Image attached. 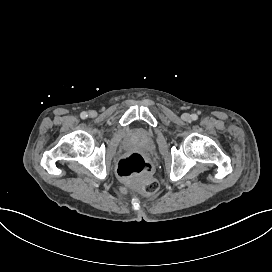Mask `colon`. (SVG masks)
<instances>
[{
  "mask_svg": "<svg viewBox=\"0 0 272 272\" xmlns=\"http://www.w3.org/2000/svg\"><path fill=\"white\" fill-rule=\"evenodd\" d=\"M151 169L150 162L139 153H133L127 157H123L117 164V172L124 180H131L135 177H144L142 185L144 192L148 195H154L158 192L159 183L150 177H147Z\"/></svg>",
  "mask_w": 272,
  "mask_h": 272,
  "instance_id": "obj_1",
  "label": "colon"
}]
</instances>
